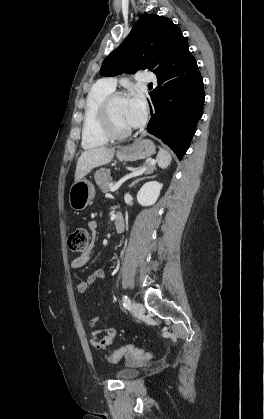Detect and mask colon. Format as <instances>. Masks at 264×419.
<instances>
[{
    "label": "colon",
    "mask_w": 264,
    "mask_h": 419,
    "mask_svg": "<svg viewBox=\"0 0 264 419\" xmlns=\"http://www.w3.org/2000/svg\"><path fill=\"white\" fill-rule=\"evenodd\" d=\"M89 244V232L84 226L75 228L68 236V247L71 251L77 253H84L87 251ZM123 357H128L134 360L143 361L152 357L151 353L142 349L136 348L132 345L123 346L108 356L111 362H118Z\"/></svg>",
    "instance_id": "obj_1"
}]
</instances>
